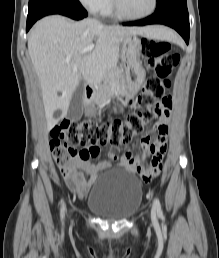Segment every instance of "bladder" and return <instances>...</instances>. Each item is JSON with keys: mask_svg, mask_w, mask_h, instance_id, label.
Here are the masks:
<instances>
[{"mask_svg": "<svg viewBox=\"0 0 219 258\" xmlns=\"http://www.w3.org/2000/svg\"><path fill=\"white\" fill-rule=\"evenodd\" d=\"M143 187L138 177L123 169L102 174L91 186L87 208L107 219L129 218L140 206Z\"/></svg>", "mask_w": 219, "mask_h": 258, "instance_id": "1", "label": "bladder"}]
</instances>
